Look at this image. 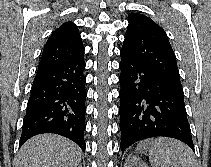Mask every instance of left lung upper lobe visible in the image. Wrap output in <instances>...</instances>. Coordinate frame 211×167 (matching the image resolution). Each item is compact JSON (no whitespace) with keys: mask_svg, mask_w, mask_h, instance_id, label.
I'll return each mask as SVG.
<instances>
[{"mask_svg":"<svg viewBox=\"0 0 211 167\" xmlns=\"http://www.w3.org/2000/svg\"><path fill=\"white\" fill-rule=\"evenodd\" d=\"M121 51L150 68L162 79L182 88L176 56L165 31L149 17L131 13Z\"/></svg>","mask_w":211,"mask_h":167,"instance_id":"1","label":"left lung upper lobe"}]
</instances>
